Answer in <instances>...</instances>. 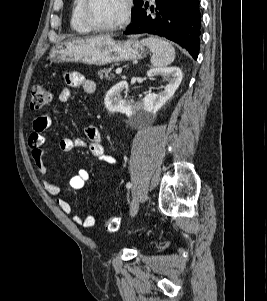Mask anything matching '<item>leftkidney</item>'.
I'll list each match as a JSON object with an SVG mask.
<instances>
[{"label":"left kidney","instance_id":"left-kidney-1","mask_svg":"<svg viewBox=\"0 0 267 301\" xmlns=\"http://www.w3.org/2000/svg\"><path fill=\"white\" fill-rule=\"evenodd\" d=\"M148 77L162 76L168 84L164 91L158 94L149 93L137 105L148 112L159 110L169 99H171L179 87L183 74L179 67H159L150 69ZM128 91V83L121 81L114 85L106 94L105 106L110 112L127 113L134 109V100H126L121 97L122 91Z\"/></svg>","mask_w":267,"mask_h":301}]
</instances>
